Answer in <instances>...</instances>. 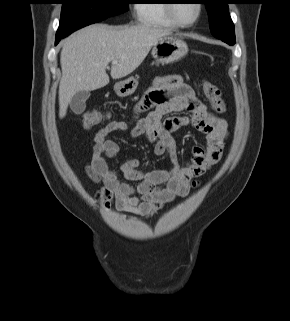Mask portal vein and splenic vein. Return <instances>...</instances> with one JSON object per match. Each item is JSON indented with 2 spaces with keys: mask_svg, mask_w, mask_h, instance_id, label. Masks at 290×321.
I'll return each mask as SVG.
<instances>
[{
  "mask_svg": "<svg viewBox=\"0 0 290 321\" xmlns=\"http://www.w3.org/2000/svg\"><path fill=\"white\" fill-rule=\"evenodd\" d=\"M116 63H117V61H115V60H114V61H112V64H116Z\"/></svg>",
  "mask_w": 290,
  "mask_h": 321,
  "instance_id": "18ae733b",
  "label": "portal vein and splenic vein"
}]
</instances>
